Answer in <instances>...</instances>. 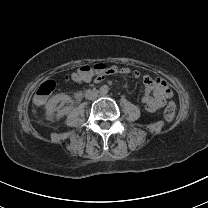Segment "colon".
Listing matches in <instances>:
<instances>
[{
    "instance_id": "colon-1",
    "label": "colon",
    "mask_w": 208,
    "mask_h": 208,
    "mask_svg": "<svg viewBox=\"0 0 208 208\" xmlns=\"http://www.w3.org/2000/svg\"><path fill=\"white\" fill-rule=\"evenodd\" d=\"M106 69L102 63L96 65H81L73 74V80L79 81L80 79L94 78L97 74H101ZM57 89V82L55 80H48L44 85L39 88V91L33 97V102L37 106H42L49 95ZM176 104L170 101L164 111V119L166 122L171 123L175 119Z\"/></svg>"
}]
</instances>
